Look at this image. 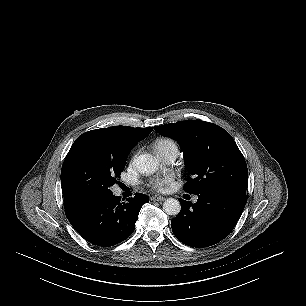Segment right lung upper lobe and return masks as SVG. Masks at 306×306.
<instances>
[{
  "mask_svg": "<svg viewBox=\"0 0 306 306\" xmlns=\"http://www.w3.org/2000/svg\"><path fill=\"white\" fill-rule=\"evenodd\" d=\"M152 130L153 127L134 128L129 126H113L85 132L75 140V143L89 141L106 147L132 149L139 141L146 138ZM64 204L66 210L79 203L70 202L64 199Z\"/></svg>",
  "mask_w": 306,
  "mask_h": 306,
  "instance_id": "obj_1",
  "label": "right lung upper lobe"
}]
</instances>
